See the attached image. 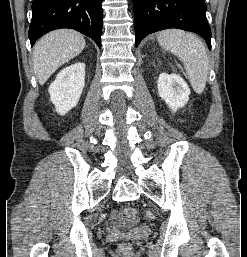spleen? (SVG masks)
<instances>
[{"mask_svg": "<svg viewBox=\"0 0 247 257\" xmlns=\"http://www.w3.org/2000/svg\"><path fill=\"white\" fill-rule=\"evenodd\" d=\"M157 40L160 46L182 61L192 88L201 94L206 86L209 71L207 52L202 41L194 34L178 29L160 32Z\"/></svg>", "mask_w": 247, "mask_h": 257, "instance_id": "spleen-1", "label": "spleen"}]
</instances>
